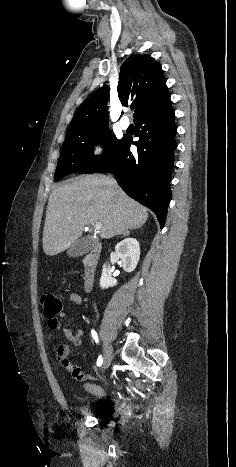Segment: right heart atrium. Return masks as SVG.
<instances>
[{
	"label": "right heart atrium",
	"instance_id": "obj_1",
	"mask_svg": "<svg viewBox=\"0 0 236 467\" xmlns=\"http://www.w3.org/2000/svg\"><path fill=\"white\" fill-rule=\"evenodd\" d=\"M89 151H90V157L92 159H98L103 151H104V144L101 140H96L94 141L90 147H89Z\"/></svg>",
	"mask_w": 236,
	"mask_h": 467
}]
</instances>
